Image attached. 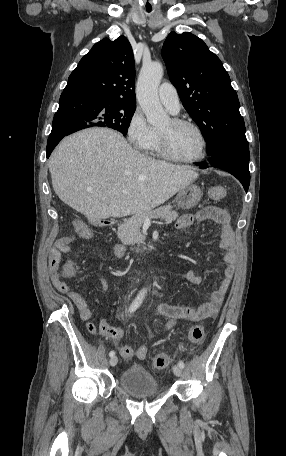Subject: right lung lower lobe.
<instances>
[{
	"instance_id": "98d812e1",
	"label": "right lung lower lobe",
	"mask_w": 286,
	"mask_h": 456,
	"mask_svg": "<svg viewBox=\"0 0 286 456\" xmlns=\"http://www.w3.org/2000/svg\"><path fill=\"white\" fill-rule=\"evenodd\" d=\"M83 95L75 92H63L60 97L58 111L54 115L52 131L47 142V157L54 147L66 135L71 134V127L75 121V110Z\"/></svg>"
}]
</instances>
